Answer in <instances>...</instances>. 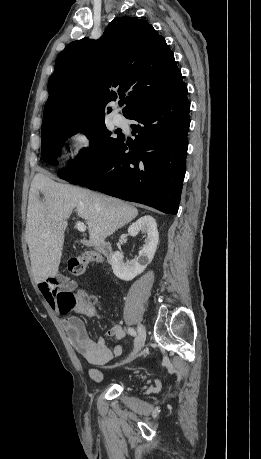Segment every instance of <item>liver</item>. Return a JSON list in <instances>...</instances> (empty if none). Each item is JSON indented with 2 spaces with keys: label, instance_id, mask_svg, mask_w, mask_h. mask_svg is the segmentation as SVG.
I'll return each mask as SVG.
<instances>
[{
  "label": "liver",
  "instance_id": "liver-1",
  "mask_svg": "<svg viewBox=\"0 0 261 459\" xmlns=\"http://www.w3.org/2000/svg\"><path fill=\"white\" fill-rule=\"evenodd\" d=\"M74 209L85 220L89 243L94 247H101L108 236L138 215L137 208L120 199L55 182L44 171L37 173L30 187L26 225L32 273L37 283L58 274L67 219Z\"/></svg>",
  "mask_w": 261,
  "mask_h": 459
}]
</instances>
